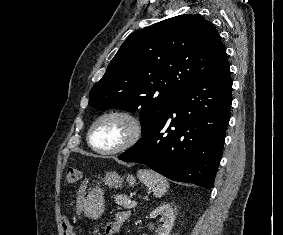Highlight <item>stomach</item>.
Segmentation results:
<instances>
[{
	"mask_svg": "<svg viewBox=\"0 0 283 235\" xmlns=\"http://www.w3.org/2000/svg\"><path fill=\"white\" fill-rule=\"evenodd\" d=\"M126 181L130 186H134L136 179L133 175H128ZM103 182L109 188H120L123 178L116 172L106 173ZM104 191L100 188H94L87 193L85 197H81V209L87 217L97 219L104 212L105 206Z\"/></svg>",
	"mask_w": 283,
	"mask_h": 235,
	"instance_id": "obj_1",
	"label": "stomach"
}]
</instances>
